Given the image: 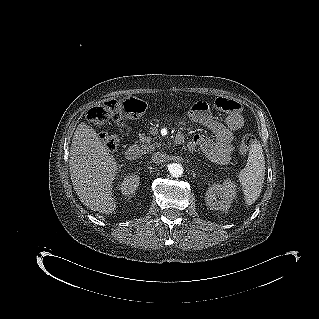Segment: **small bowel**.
<instances>
[{
    "label": "small bowel",
    "mask_w": 319,
    "mask_h": 319,
    "mask_svg": "<svg viewBox=\"0 0 319 319\" xmlns=\"http://www.w3.org/2000/svg\"><path fill=\"white\" fill-rule=\"evenodd\" d=\"M206 124L213 137L195 134L189 142V148L194 149L199 146L214 161L218 163L228 161L233 150V131L241 129L244 125L242 116L232 113L226 116L224 123L210 118Z\"/></svg>",
    "instance_id": "c3829d8e"
}]
</instances>
